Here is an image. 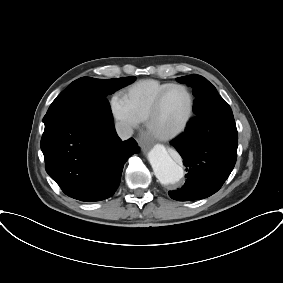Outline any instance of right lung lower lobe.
<instances>
[{
	"label": "right lung lower lobe",
	"mask_w": 283,
	"mask_h": 283,
	"mask_svg": "<svg viewBox=\"0 0 283 283\" xmlns=\"http://www.w3.org/2000/svg\"><path fill=\"white\" fill-rule=\"evenodd\" d=\"M40 145L49 176L66 195L85 202L111 197L124 164L138 151L134 139L122 141L113 120L98 114L47 122Z\"/></svg>",
	"instance_id": "1"
}]
</instances>
